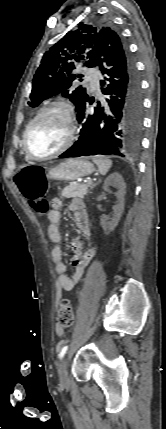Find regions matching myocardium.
Instances as JSON below:
<instances>
[{"mask_svg":"<svg viewBox=\"0 0 166 429\" xmlns=\"http://www.w3.org/2000/svg\"><path fill=\"white\" fill-rule=\"evenodd\" d=\"M51 111H58L60 112L66 121V139L64 143L59 147L56 151L53 153L46 155V156H36L34 155L28 146V137L29 134L35 125V123L45 114L51 112ZM75 135V121H74V115L73 110L71 106L65 102V101H54L43 107L36 115L35 117L30 121L28 126L25 129L24 135H23V149L25 151L26 156L30 160L34 161H46L53 159L62 153H64L66 150L69 149V147L72 145Z\"/></svg>","mask_w":166,"mask_h":429,"instance_id":"1","label":"myocardium"}]
</instances>
